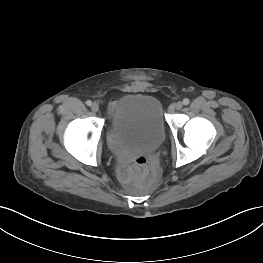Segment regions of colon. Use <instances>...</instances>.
<instances>
[{
	"instance_id": "1",
	"label": "colon",
	"mask_w": 263,
	"mask_h": 263,
	"mask_svg": "<svg viewBox=\"0 0 263 263\" xmlns=\"http://www.w3.org/2000/svg\"><path fill=\"white\" fill-rule=\"evenodd\" d=\"M132 169L142 185L150 186L154 183L157 175L156 168L146 158H138L135 164H133Z\"/></svg>"
}]
</instances>
